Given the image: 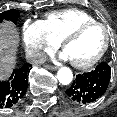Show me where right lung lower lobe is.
Here are the masks:
<instances>
[{"mask_svg": "<svg viewBox=\"0 0 117 117\" xmlns=\"http://www.w3.org/2000/svg\"><path fill=\"white\" fill-rule=\"evenodd\" d=\"M30 64L15 69L10 76V81H0V108H10L23 98L28 88V74Z\"/></svg>", "mask_w": 117, "mask_h": 117, "instance_id": "right-lung-lower-lobe-1", "label": "right lung lower lobe"}]
</instances>
